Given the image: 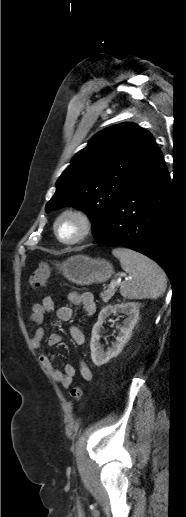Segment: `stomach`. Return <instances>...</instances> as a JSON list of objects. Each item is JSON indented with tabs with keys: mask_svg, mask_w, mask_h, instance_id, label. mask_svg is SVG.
<instances>
[{
	"mask_svg": "<svg viewBox=\"0 0 186 517\" xmlns=\"http://www.w3.org/2000/svg\"><path fill=\"white\" fill-rule=\"evenodd\" d=\"M56 266L64 277L77 285L102 283L113 274V266L108 261L85 255L72 256Z\"/></svg>",
	"mask_w": 186,
	"mask_h": 517,
	"instance_id": "0dacf381",
	"label": "stomach"
}]
</instances>
